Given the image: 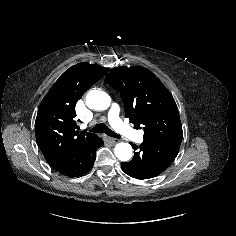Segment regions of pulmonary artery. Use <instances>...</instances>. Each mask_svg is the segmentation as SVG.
<instances>
[{"mask_svg":"<svg viewBox=\"0 0 236 236\" xmlns=\"http://www.w3.org/2000/svg\"><path fill=\"white\" fill-rule=\"evenodd\" d=\"M120 108L117 104L113 103L111 104L109 108V114H108V119L112 127L123 137L127 139L134 140L136 142H142V133L134 130L130 126L124 124L120 117Z\"/></svg>","mask_w":236,"mask_h":236,"instance_id":"obj_1","label":"pulmonary artery"}]
</instances>
